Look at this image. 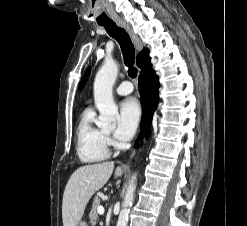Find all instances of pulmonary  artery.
I'll use <instances>...</instances> for the list:
<instances>
[{
  "instance_id": "obj_1",
  "label": "pulmonary artery",
  "mask_w": 247,
  "mask_h": 226,
  "mask_svg": "<svg viewBox=\"0 0 247 226\" xmlns=\"http://www.w3.org/2000/svg\"><path fill=\"white\" fill-rule=\"evenodd\" d=\"M133 91V84L130 81H123L117 88L116 93L124 96L128 95Z\"/></svg>"
}]
</instances>
